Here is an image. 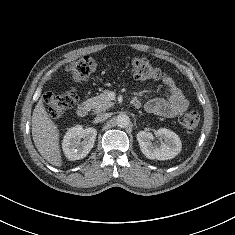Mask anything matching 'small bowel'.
Segmentation results:
<instances>
[{
	"mask_svg": "<svg viewBox=\"0 0 235 235\" xmlns=\"http://www.w3.org/2000/svg\"><path fill=\"white\" fill-rule=\"evenodd\" d=\"M139 105L140 101L135 98ZM189 103L182 94L181 90L172 86V93L167 98H153L145 104L147 112L164 118H175L182 115L188 109Z\"/></svg>",
	"mask_w": 235,
	"mask_h": 235,
	"instance_id": "1",
	"label": "small bowel"
}]
</instances>
